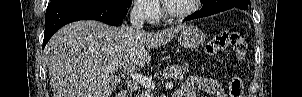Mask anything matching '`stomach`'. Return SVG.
<instances>
[{
	"mask_svg": "<svg viewBox=\"0 0 302 97\" xmlns=\"http://www.w3.org/2000/svg\"><path fill=\"white\" fill-rule=\"evenodd\" d=\"M205 41V35L201 29L193 25L183 27L178 36V43L185 49H197Z\"/></svg>",
	"mask_w": 302,
	"mask_h": 97,
	"instance_id": "stomach-1",
	"label": "stomach"
}]
</instances>
